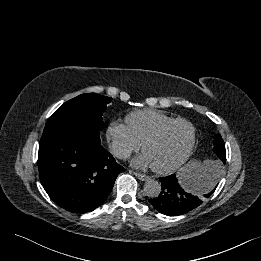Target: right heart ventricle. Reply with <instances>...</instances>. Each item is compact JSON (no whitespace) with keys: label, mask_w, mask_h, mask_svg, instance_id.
Returning <instances> with one entry per match:
<instances>
[{"label":"right heart ventricle","mask_w":261,"mask_h":261,"mask_svg":"<svg viewBox=\"0 0 261 261\" xmlns=\"http://www.w3.org/2000/svg\"><path fill=\"white\" fill-rule=\"evenodd\" d=\"M172 119V116L160 110L141 109L127 114L125 122L135 139L142 144L160 125Z\"/></svg>","instance_id":"right-heart-ventricle-1"}]
</instances>
